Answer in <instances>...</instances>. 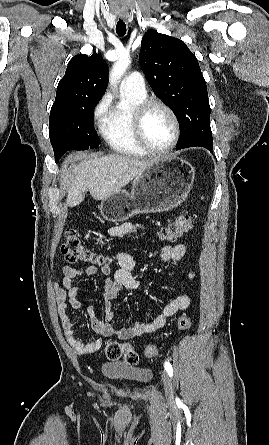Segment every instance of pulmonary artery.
I'll return each instance as SVG.
<instances>
[{"label":"pulmonary artery","instance_id":"pulmonary-artery-1","mask_svg":"<svg viewBox=\"0 0 269 445\" xmlns=\"http://www.w3.org/2000/svg\"><path fill=\"white\" fill-rule=\"evenodd\" d=\"M122 90L131 91L138 95H145L146 88L143 76L139 72H132L124 78L121 84Z\"/></svg>","mask_w":269,"mask_h":445}]
</instances>
